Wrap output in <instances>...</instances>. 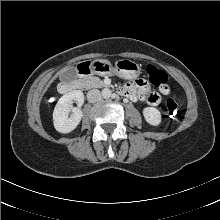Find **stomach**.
Masks as SVG:
<instances>
[{
  "mask_svg": "<svg viewBox=\"0 0 220 220\" xmlns=\"http://www.w3.org/2000/svg\"><path fill=\"white\" fill-rule=\"evenodd\" d=\"M89 70L91 74L100 76L117 74L124 79H133L141 73V67L130 59H121L116 61L115 66L108 61L95 60L90 62Z\"/></svg>",
  "mask_w": 220,
  "mask_h": 220,
  "instance_id": "stomach-1",
  "label": "stomach"
}]
</instances>
